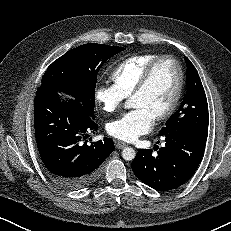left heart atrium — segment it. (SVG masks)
I'll return each mask as SVG.
<instances>
[{
  "mask_svg": "<svg viewBox=\"0 0 231 231\" xmlns=\"http://www.w3.org/2000/svg\"><path fill=\"white\" fill-rule=\"evenodd\" d=\"M154 115L144 107H136L107 125L108 133L122 141L131 142L150 131Z\"/></svg>",
  "mask_w": 231,
  "mask_h": 231,
  "instance_id": "1",
  "label": "left heart atrium"
}]
</instances>
